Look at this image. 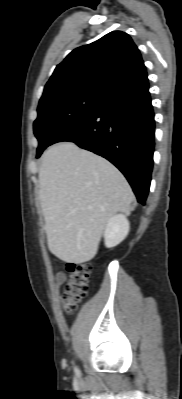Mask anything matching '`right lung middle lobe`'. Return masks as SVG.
<instances>
[{
    "label": "right lung middle lobe",
    "instance_id": "1",
    "mask_svg": "<svg viewBox=\"0 0 182 399\" xmlns=\"http://www.w3.org/2000/svg\"><path fill=\"white\" fill-rule=\"evenodd\" d=\"M104 98L81 93L39 102L38 118L34 122V134L39 141L36 157L51 145L58 132L96 111Z\"/></svg>",
    "mask_w": 182,
    "mask_h": 399
}]
</instances>
